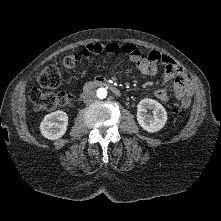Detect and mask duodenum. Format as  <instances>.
<instances>
[{
    "label": "duodenum",
    "instance_id": "duodenum-1",
    "mask_svg": "<svg viewBox=\"0 0 221 221\" xmlns=\"http://www.w3.org/2000/svg\"><path fill=\"white\" fill-rule=\"evenodd\" d=\"M94 87H105L110 89L114 94L121 95V91L109 80L104 77H96L92 81L87 82L84 85V92H88Z\"/></svg>",
    "mask_w": 221,
    "mask_h": 221
}]
</instances>
